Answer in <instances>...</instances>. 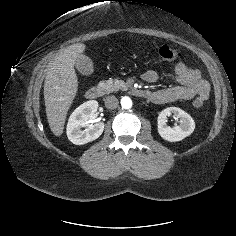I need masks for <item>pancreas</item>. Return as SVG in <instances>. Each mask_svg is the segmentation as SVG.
Returning <instances> with one entry per match:
<instances>
[{
	"instance_id": "cf45deb5",
	"label": "pancreas",
	"mask_w": 236,
	"mask_h": 236,
	"mask_svg": "<svg viewBox=\"0 0 236 236\" xmlns=\"http://www.w3.org/2000/svg\"><path fill=\"white\" fill-rule=\"evenodd\" d=\"M104 90L107 94L111 92H116L119 89L126 90L128 88L127 84L122 80L109 79L102 82Z\"/></svg>"
}]
</instances>
